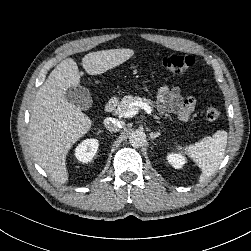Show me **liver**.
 <instances>
[{
  "mask_svg": "<svg viewBox=\"0 0 251 251\" xmlns=\"http://www.w3.org/2000/svg\"><path fill=\"white\" fill-rule=\"evenodd\" d=\"M134 51L110 49L91 52L82 59L89 75H100L127 61ZM82 74L77 63L67 58L59 63L39 88L31 109L29 142L35 160L57 182H68L66 157L69 150L91 129L93 122L81 108L64 96L78 86Z\"/></svg>",
  "mask_w": 251,
  "mask_h": 251,
  "instance_id": "liver-1",
  "label": "liver"
}]
</instances>
